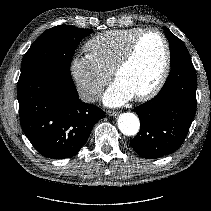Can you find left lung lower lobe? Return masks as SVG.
Wrapping results in <instances>:
<instances>
[{"label": "left lung lower lobe", "mask_w": 211, "mask_h": 211, "mask_svg": "<svg viewBox=\"0 0 211 211\" xmlns=\"http://www.w3.org/2000/svg\"><path fill=\"white\" fill-rule=\"evenodd\" d=\"M197 77L191 58L177 61L156 97L134 108L141 122L131 147L143 158L176 151L187 136L196 110Z\"/></svg>", "instance_id": "obj_1"}]
</instances>
